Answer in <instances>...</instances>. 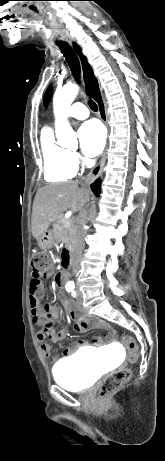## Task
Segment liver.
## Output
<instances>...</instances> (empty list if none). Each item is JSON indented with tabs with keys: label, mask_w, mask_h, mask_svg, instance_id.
<instances>
[{
	"label": "liver",
	"mask_w": 165,
	"mask_h": 461,
	"mask_svg": "<svg viewBox=\"0 0 165 461\" xmlns=\"http://www.w3.org/2000/svg\"><path fill=\"white\" fill-rule=\"evenodd\" d=\"M87 187L79 188L77 181L48 184L36 193L32 208V235L38 239L63 212L82 211L90 199Z\"/></svg>",
	"instance_id": "obj_1"
}]
</instances>
